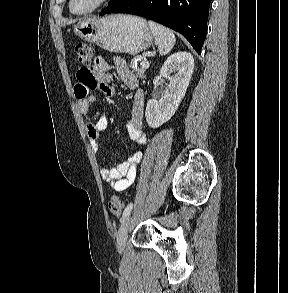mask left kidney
Masks as SVG:
<instances>
[{
  "label": "left kidney",
  "instance_id": "5707ae66",
  "mask_svg": "<svg viewBox=\"0 0 288 293\" xmlns=\"http://www.w3.org/2000/svg\"><path fill=\"white\" fill-rule=\"evenodd\" d=\"M194 70V58L188 52L172 54L160 69V76L169 81L161 99L147 102L145 117L148 125L157 128L170 120L185 96Z\"/></svg>",
  "mask_w": 288,
  "mask_h": 293
}]
</instances>
